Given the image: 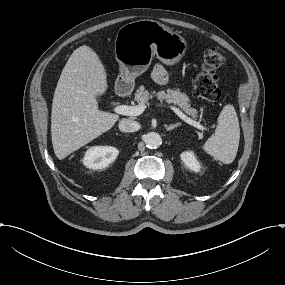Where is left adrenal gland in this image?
<instances>
[{"instance_id":"1","label":"left adrenal gland","mask_w":285,"mask_h":285,"mask_svg":"<svg viewBox=\"0 0 285 285\" xmlns=\"http://www.w3.org/2000/svg\"><path fill=\"white\" fill-rule=\"evenodd\" d=\"M179 126H182V124L181 123H176V124H173V125H170V126L165 124V129L167 131H172L173 129H175V128L179 127Z\"/></svg>"}]
</instances>
